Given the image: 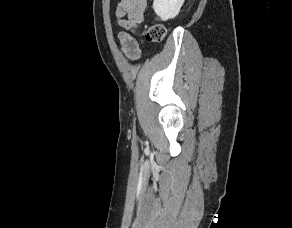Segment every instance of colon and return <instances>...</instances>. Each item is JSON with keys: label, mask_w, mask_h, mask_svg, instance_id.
Segmentation results:
<instances>
[{"label": "colon", "mask_w": 292, "mask_h": 228, "mask_svg": "<svg viewBox=\"0 0 292 228\" xmlns=\"http://www.w3.org/2000/svg\"><path fill=\"white\" fill-rule=\"evenodd\" d=\"M167 30L163 25L156 24L146 28L142 35L150 42H161L165 39Z\"/></svg>", "instance_id": "obj_1"}]
</instances>
